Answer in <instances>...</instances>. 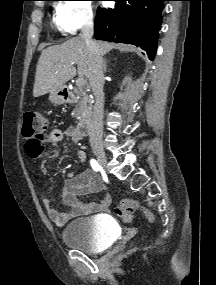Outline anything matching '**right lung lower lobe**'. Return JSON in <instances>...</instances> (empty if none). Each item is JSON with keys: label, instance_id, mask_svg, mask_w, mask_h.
<instances>
[{"label": "right lung lower lobe", "instance_id": "1", "mask_svg": "<svg viewBox=\"0 0 216 285\" xmlns=\"http://www.w3.org/2000/svg\"><path fill=\"white\" fill-rule=\"evenodd\" d=\"M114 8H98L95 37L135 44L153 60L166 0H113Z\"/></svg>", "mask_w": 216, "mask_h": 285}]
</instances>
